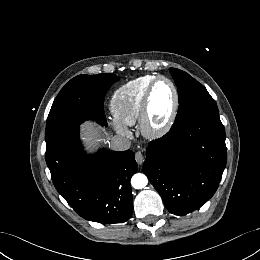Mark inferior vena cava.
<instances>
[{
    "label": "inferior vena cava",
    "mask_w": 260,
    "mask_h": 260,
    "mask_svg": "<svg viewBox=\"0 0 260 260\" xmlns=\"http://www.w3.org/2000/svg\"><path fill=\"white\" fill-rule=\"evenodd\" d=\"M110 147L115 151H125L131 147V141L126 137L115 135L111 139Z\"/></svg>",
    "instance_id": "602c4592"
}]
</instances>
